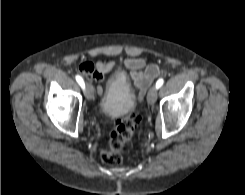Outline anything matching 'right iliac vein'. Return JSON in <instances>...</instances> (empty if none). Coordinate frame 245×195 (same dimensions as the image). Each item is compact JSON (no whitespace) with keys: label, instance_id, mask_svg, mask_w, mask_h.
<instances>
[{"label":"right iliac vein","instance_id":"1","mask_svg":"<svg viewBox=\"0 0 245 195\" xmlns=\"http://www.w3.org/2000/svg\"><path fill=\"white\" fill-rule=\"evenodd\" d=\"M86 97L89 100L94 99V89L89 83L86 84Z\"/></svg>","mask_w":245,"mask_h":195}]
</instances>
